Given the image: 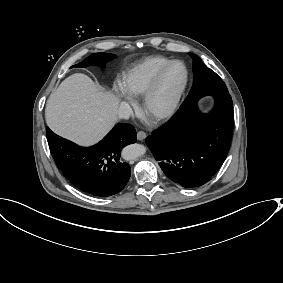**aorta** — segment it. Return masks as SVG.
Returning <instances> with one entry per match:
<instances>
[{
  "mask_svg": "<svg viewBox=\"0 0 283 283\" xmlns=\"http://www.w3.org/2000/svg\"><path fill=\"white\" fill-rule=\"evenodd\" d=\"M146 152V147L142 144H131L126 146L122 151V157L125 160H134L139 156L144 155Z\"/></svg>",
  "mask_w": 283,
  "mask_h": 283,
  "instance_id": "aorta-1",
  "label": "aorta"
}]
</instances>
